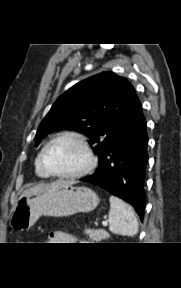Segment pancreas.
Wrapping results in <instances>:
<instances>
[{
    "mask_svg": "<svg viewBox=\"0 0 181 288\" xmlns=\"http://www.w3.org/2000/svg\"><path fill=\"white\" fill-rule=\"evenodd\" d=\"M85 233L93 242H99L109 237V233L104 229H86Z\"/></svg>",
    "mask_w": 181,
    "mask_h": 288,
    "instance_id": "obj_1",
    "label": "pancreas"
}]
</instances>
